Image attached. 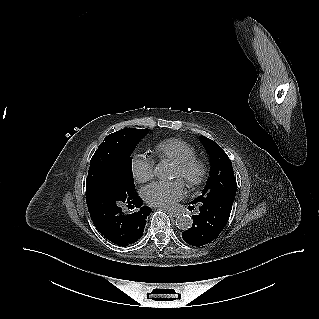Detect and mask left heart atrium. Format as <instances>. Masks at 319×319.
Instances as JSON below:
<instances>
[{
  "label": "left heart atrium",
  "instance_id": "left-heart-atrium-1",
  "mask_svg": "<svg viewBox=\"0 0 319 319\" xmlns=\"http://www.w3.org/2000/svg\"><path fill=\"white\" fill-rule=\"evenodd\" d=\"M183 194L184 184L181 180L157 181L142 190V195L148 204L164 208L173 206Z\"/></svg>",
  "mask_w": 319,
  "mask_h": 319
}]
</instances>
